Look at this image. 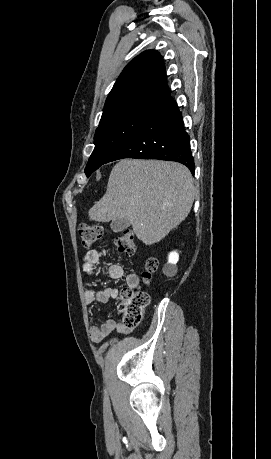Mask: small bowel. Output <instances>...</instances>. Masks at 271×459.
I'll return each mask as SVG.
<instances>
[{
  "label": "small bowel",
  "instance_id": "c3829d8e",
  "mask_svg": "<svg viewBox=\"0 0 271 459\" xmlns=\"http://www.w3.org/2000/svg\"><path fill=\"white\" fill-rule=\"evenodd\" d=\"M104 256H106L105 250L88 251L82 260V267L84 272L91 276L95 275L97 273L95 266ZM106 275L111 279H120L126 275V283L130 289H138L141 286L139 276L133 272L126 273L125 269L120 265H110L106 270ZM118 295L119 291L117 288L106 287L98 291L91 289L86 290L84 293V298L85 301L89 304L107 303L112 299H116ZM115 330L126 335L132 331V328L126 326L120 321L110 319L103 323L101 326L92 327L90 329V338L93 342L99 343Z\"/></svg>",
  "mask_w": 271,
  "mask_h": 459
}]
</instances>
